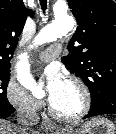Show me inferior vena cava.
Listing matches in <instances>:
<instances>
[{"label": "inferior vena cava", "mask_w": 116, "mask_h": 134, "mask_svg": "<svg viewBox=\"0 0 116 134\" xmlns=\"http://www.w3.org/2000/svg\"><path fill=\"white\" fill-rule=\"evenodd\" d=\"M17 121L19 127L17 128L19 134H27V131L38 122V115L34 108H26L18 111Z\"/></svg>", "instance_id": "inferior-vena-cava-1"}]
</instances>
